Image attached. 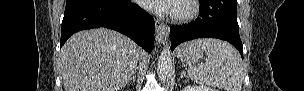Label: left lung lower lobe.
Masks as SVG:
<instances>
[{
    "label": "left lung lower lobe",
    "mask_w": 304,
    "mask_h": 91,
    "mask_svg": "<svg viewBox=\"0 0 304 91\" xmlns=\"http://www.w3.org/2000/svg\"><path fill=\"white\" fill-rule=\"evenodd\" d=\"M199 3V16L195 21L170 28L171 49L196 38H218L234 45L243 58L237 0H199Z\"/></svg>",
    "instance_id": "obj_1"
}]
</instances>
